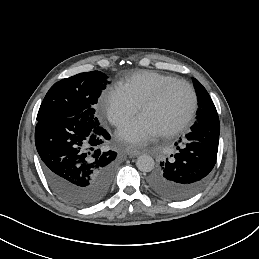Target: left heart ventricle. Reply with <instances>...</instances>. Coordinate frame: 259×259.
I'll return each mask as SVG.
<instances>
[{"label":"left heart ventricle","instance_id":"1","mask_svg":"<svg viewBox=\"0 0 259 259\" xmlns=\"http://www.w3.org/2000/svg\"><path fill=\"white\" fill-rule=\"evenodd\" d=\"M190 104L189 89L181 83H175L156 105L141 112L139 118L160 134L174 127L186 115Z\"/></svg>","mask_w":259,"mask_h":259}]
</instances>
